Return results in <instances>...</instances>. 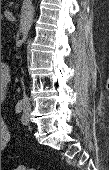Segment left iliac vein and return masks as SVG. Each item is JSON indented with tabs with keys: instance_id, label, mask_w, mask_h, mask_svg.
Listing matches in <instances>:
<instances>
[{
	"instance_id": "obj_1",
	"label": "left iliac vein",
	"mask_w": 109,
	"mask_h": 170,
	"mask_svg": "<svg viewBox=\"0 0 109 170\" xmlns=\"http://www.w3.org/2000/svg\"><path fill=\"white\" fill-rule=\"evenodd\" d=\"M22 123H23L24 125L29 124V116H28L27 113H24V114H23V116H22Z\"/></svg>"
}]
</instances>
